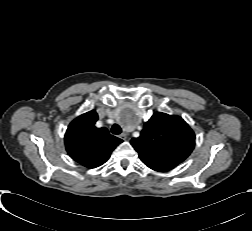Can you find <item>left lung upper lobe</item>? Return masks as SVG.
I'll use <instances>...</instances> for the list:
<instances>
[{
  "label": "left lung upper lobe",
  "instance_id": "obj_1",
  "mask_svg": "<svg viewBox=\"0 0 252 231\" xmlns=\"http://www.w3.org/2000/svg\"><path fill=\"white\" fill-rule=\"evenodd\" d=\"M131 145L149 168L176 167L192 152L195 134L181 117L156 112Z\"/></svg>",
  "mask_w": 252,
  "mask_h": 231
}]
</instances>
